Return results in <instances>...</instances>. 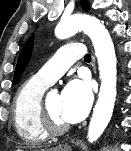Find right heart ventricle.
<instances>
[{
  "label": "right heart ventricle",
  "instance_id": "right-heart-ventricle-1",
  "mask_svg": "<svg viewBox=\"0 0 131 151\" xmlns=\"http://www.w3.org/2000/svg\"><path fill=\"white\" fill-rule=\"evenodd\" d=\"M48 86L49 84L34 76L16 94L13 124L19 137L28 143H40L49 137L41 118V101Z\"/></svg>",
  "mask_w": 131,
  "mask_h": 151
}]
</instances>
